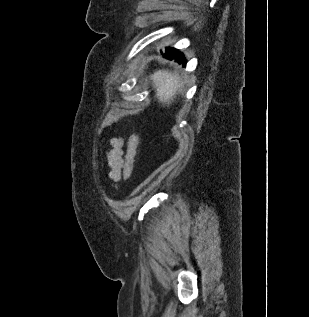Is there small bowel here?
<instances>
[{
	"mask_svg": "<svg viewBox=\"0 0 309 317\" xmlns=\"http://www.w3.org/2000/svg\"><path fill=\"white\" fill-rule=\"evenodd\" d=\"M109 144L111 149L105 153L108 165V177L112 182H118L124 166L123 139L120 137L110 139Z\"/></svg>",
	"mask_w": 309,
	"mask_h": 317,
	"instance_id": "obj_1",
	"label": "small bowel"
}]
</instances>
